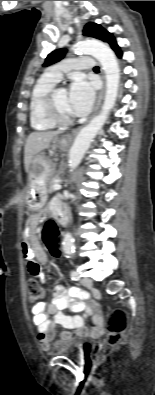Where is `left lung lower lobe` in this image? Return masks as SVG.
Segmentation results:
<instances>
[{"label": "left lung lower lobe", "instance_id": "obj_1", "mask_svg": "<svg viewBox=\"0 0 155 395\" xmlns=\"http://www.w3.org/2000/svg\"><path fill=\"white\" fill-rule=\"evenodd\" d=\"M117 55L121 58L122 52L120 50L116 51Z\"/></svg>", "mask_w": 155, "mask_h": 395}]
</instances>
